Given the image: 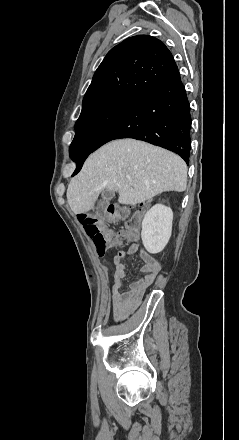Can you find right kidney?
<instances>
[{
  "instance_id": "right-kidney-1",
  "label": "right kidney",
  "mask_w": 239,
  "mask_h": 440,
  "mask_svg": "<svg viewBox=\"0 0 239 440\" xmlns=\"http://www.w3.org/2000/svg\"><path fill=\"white\" fill-rule=\"evenodd\" d=\"M173 212L171 208L156 204L146 212L142 222L141 238L148 253H161L172 234Z\"/></svg>"
}]
</instances>
